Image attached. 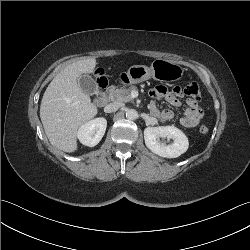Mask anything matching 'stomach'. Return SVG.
Listing matches in <instances>:
<instances>
[{"instance_id":"stomach-1","label":"stomach","mask_w":250,"mask_h":250,"mask_svg":"<svg viewBox=\"0 0 250 250\" xmlns=\"http://www.w3.org/2000/svg\"><path fill=\"white\" fill-rule=\"evenodd\" d=\"M184 74V68L165 59H155L150 67L133 65L121 79L123 84H137L150 78L161 82L178 81Z\"/></svg>"}]
</instances>
